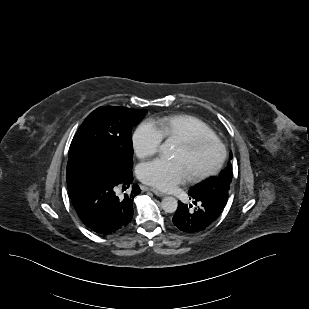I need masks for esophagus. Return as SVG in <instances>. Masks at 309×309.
I'll use <instances>...</instances> for the list:
<instances>
[{
  "label": "esophagus",
  "instance_id": "1",
  "mask_svg": "<svg viewBox=\"0 0 309 309\" xmlns=\"http://www.w3.org/2000/svg\"><path fill=\"white\" fill-rule=\"evenodd\" d=\"M149 190L152 191L155 195H157L159 197L165 196V194L163 192H161L160 190H157L155 188H150Z\"/></svg>",
  "mask_w": 309,
  "mask_h": 309
}]
</instances>
